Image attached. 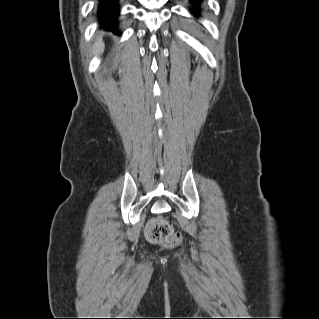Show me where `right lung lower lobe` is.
<instances>
[{
	"label": "right lung lower lobe",
	"mask_w": 319,
	"mask_h": 319,
	"mask_svg": "<svg viewBox=\"0 0 319 319\" xmlns=\"http://www.w3.org/2000/svg\"><path fill=\"white\" fill-rule=\"evenodd\" d=\"M98 14L101 23L114 31L116 29V18L119 14L118 0H99Z\"/></svg>",
	"instance_id": "right-lung-lower-lobe-1"
}]
</instances>
